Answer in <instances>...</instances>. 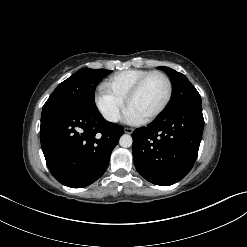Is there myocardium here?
<instances>
[{"label":"myocardium","instance_id":"myocardium-1","mask_svg":"<svg viewBox=\"0 0 247 247\" xmlns=\"http://www.w3.org/2000/svg\"><path fill=\"white\" fill-rule=\"evenodd\" d=\"M154 75L162 76L165 79L167 83V95H166L164 102L157 110H155L153 113H151L147 117L141 119V122L143 123H148L156 119L167 108V106L169 105L171 101L172 95H173V84H172L170 77L163 71H158V70L150 71L145 76H143L140 80H138V82L129 91L125 99L126 107L129 108L131 101L140 92L145 82Z\"/></svg>","mask_w":247,"mask_h":247}]
</instances>
